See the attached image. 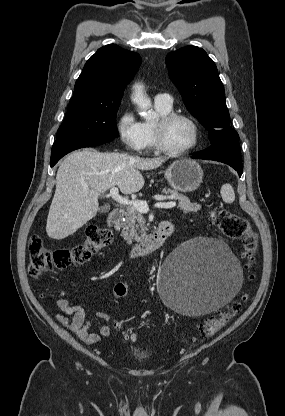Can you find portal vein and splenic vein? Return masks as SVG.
I'll return each mask as SVG.
<instances>
[{
	"instance_id": "portal-vein-and-splenic-vein-1",
	"label": "portal vein and splenic vein",
	"mask_w": 285,
	"mask_h": 416,
	"mask_svg": "<svg viewBox=\"0 0 285 416\" xmlns=\"http://www.w3.org/2000/svg\"><path fill=\"white\" fill-rule=\"evenodd\" d=\"M109 196H111L115 202H118V204H123V206H133V208H136V210L141 212V214H147V212H149V206L147 202H142V200H128V198H122V196H119L118 188H111ZM175 206L176 202H156V204H154V208H175Z\"/></svg>"
}]
</instances>
